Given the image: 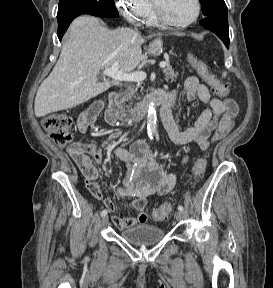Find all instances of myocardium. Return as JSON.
<instances>
[{"instance_id": "myocardium-1", "label": "myocardium", "mask_w": 273, "mask_h": 288, "mask_svg": "<svg viewBox=\"0 0 273 288\" xmlns=\"http://www.w3.org/2000/svg\"><path fill=\"white\" fill-rule=\"evenodd\" d=\"M195 4H196V11L194 13V15L183 22H177V21H173L169 18H167L163 12L161 11V9L156 5L155 1L152 0V7H153V14L156 18V20L164 25L170 26V27H175V28H184L187 27L189 25H191L192 23H194L200 16L201 14V9H202V5H201V0H195Z\"/></svg>"}]
</instances>
